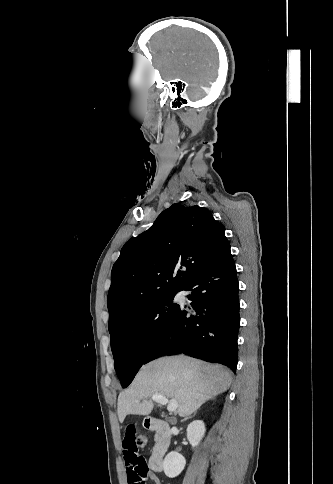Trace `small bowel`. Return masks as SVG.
<instances>
[{"label":"small bowel","mask_w":333,"mask_h":484,"mask_svg":"<svg viewBox=\"0 0 333 484\" xmlns=\"http://www.w3.org/2000/svg\"><path fill=\"white\" fill-rule=\"evenodd\" d=\"M136 438L135 427L128 424L122 443L128 484H146L147 479L154 484H161L157 476L150 471L146 459L139 454Z\"/></svg>","instance_id":"c3829d8e"}]
</instances>
